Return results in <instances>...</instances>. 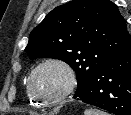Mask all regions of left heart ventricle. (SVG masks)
<instances>
[{
	"label": "left heart ventricle",
	"instance_id": "b2bd125f",
	"mask_svg": "<svg viewBox=\"0 0 131 115\" xmlns=\"http://www.w3.org/2000/svg\"><path fill=\"white\" fill-rule=\"evenodd\" d=\"M65 81V75L60 68L47 66L35 74L32 86L37 95L47 99L56 96L63 89Z\"/></svg>",
	"mask_w": 131,
	"mask_h": 115
}]
</instances>
